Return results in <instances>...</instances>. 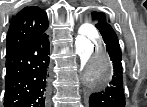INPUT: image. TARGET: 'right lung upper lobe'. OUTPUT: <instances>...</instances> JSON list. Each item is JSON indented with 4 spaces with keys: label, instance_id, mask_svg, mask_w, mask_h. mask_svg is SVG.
<instances>
[{
    "label": "right lung upper lobe",
    "instance_id": "1",
    "mask_svg": "<svg viewBox=\"0 0 147 107\" xmlns=\"http://www.w3.org/2000/svg\"><path fill=\"white\" fill-rule=\"evenodd\" d=\"M48 28L47 14L37 6L23 8L12 18L6 38L7 53L18 49Z\"/></svg>",
    "mask_w": 147,
    "mask_h": 107
}]
</instances>
